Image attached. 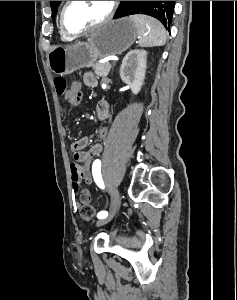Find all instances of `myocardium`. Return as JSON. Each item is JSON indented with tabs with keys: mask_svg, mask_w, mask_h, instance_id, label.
Segmentation results:
<instances>
[{
	"mask_svg": "<svg viewBox=\"0 0 237 300\" xmlns=\"http://www.w3.org/2000/svg\"><path fill=\"white\" fill-rule=\"evenodd\" d=\"M71 3V1H65V3L63 4L62 6V9H61V12H60V18H59V23H60V29H61V32L67 36V37H72V38H75V37H78V36H81L85 33H88V32H91V31H95V30H98L104 26H106L107 24H109L112 19L114 18V15L116 13V8H117V1H109V10H108V13L106 14V16L101 20L99 21L98 23L92 25V26H89L79 32H76V33H72L70 32L66 26H65V21H64V17H65V11L68 7V5Z\"/></svg>",
	"mask_w": 237,
	"mask_h": 300,
	"instance_id": "myocardium-1",
	"label": "myocardium"
}]
</instances>
